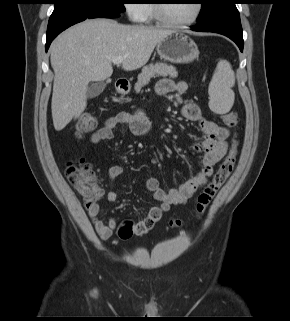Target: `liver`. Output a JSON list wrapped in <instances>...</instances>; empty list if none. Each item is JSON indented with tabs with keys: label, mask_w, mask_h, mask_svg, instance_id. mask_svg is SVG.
Listing matches in <instances>:
<instances>
[{
	"label": "liver",
	"mask_w": 290,
	"mask_h": 321,
	"mask_svg": "<svg viewBox=\"0 0 290 321\" xmlns=\"http://www.w3.org/2000/svg\"><path fill=\"white\" fill-rule=\"evenodd\" d=\"M172 30L144 25H122L111 19H90L61 33L50 46L55 77L52 118L56 131L78 118L87 106L91 81H104L112 73V59L123 57L122 68L144 66L156 47Z\"/></svg>",
	"instance_id": "obj_1"
}]
</instances>
